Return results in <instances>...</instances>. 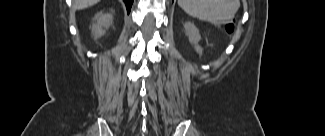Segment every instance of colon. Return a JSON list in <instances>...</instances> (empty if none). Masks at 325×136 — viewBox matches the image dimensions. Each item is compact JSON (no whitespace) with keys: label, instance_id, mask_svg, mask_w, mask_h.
Here are the masks:
<instances>
[{"label":"colon","instance_id":"colon-1","mask_svg":"<svg viewBox=\"0 0 325 136\" xmlns=\"http://www.w3.org/2000/svg\"><path fill=\"white\" fill-rule=\"evenodd\" d=\"M227 30H228L229 32L233 31V30H234V24H233V23H229V24L227 25Z\"/></svg>","mask_w":325,"mask_h":136}]
</instances>
